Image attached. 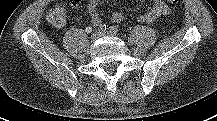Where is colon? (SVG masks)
<instances>
[{"mask_svg":"<svg viewBox=\"0 0 217 121\" xmlns=\"http://www.w3.org/2000/svg\"><path fill=\"white\" fill-rule=\"evenodd\" d=\"M168 3L175 4L179 0H166ZM48 22L54 27H63L67 21V10L63 5H56L47 14Z\"/></svg>","mask_w":217,"mask_h":121,"instance_id":"colon-1","label":"colon"}]
</instances>
